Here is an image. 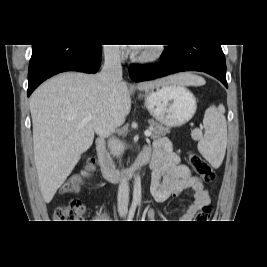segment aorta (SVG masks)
<instances>
[{
	"label": "aorta",
	"instance_id": "aorta-1",
	"mask_svg": "<svg viewBox=\"0 0 267 267\" xmlns=\"http://www.w3.org/2000/svg\"><path fill=\"white\" fill-rule=\"evenodd\" d=\"M141 178L137 175L134 179V187H133V200L140 201L141 200Z\"/></svg>",
	"mask_w": 267,
	"mask_h": 267
}]
</instances>
